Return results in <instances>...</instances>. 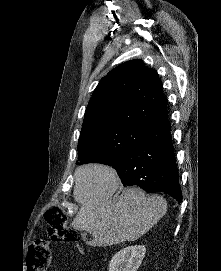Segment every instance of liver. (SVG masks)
I'll return each mask as SVG.
<instances>
[{"instance_id": "liver-1", "label": "liver", "mask_w": 221, "mask_h": 271, "mask_svg": "<svg viewBox=\"0 0 221 271\" xmlns=\"http://www.w3.org/2000/svg\"><path fill=\"white\" fill-rule=\"evenodd\" d=\"M73 197L80 209L71 225L92 235L88 245H114L135 241L147 233L167 211L162 195H146L140 187H126L113 197L120 181L113 169L102 163H85L75 169Z\"/></svg>"}]
</instances>
